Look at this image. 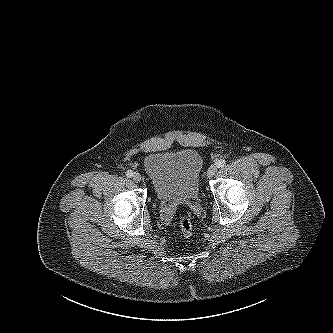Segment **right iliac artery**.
Segmentation results:
<instances>
[{
    "label": "right iliac artery",
    "mask_w": 333,
    "mask_h": 333,
    "mask_svg": "<svg viewBox=\"0 0 333 333\" xmlns=\"http://www.w3.org/2000/svg\"><path fill=\"white\" fill-rule=\"evenodd\" d=\"M126 176L129 177V178L132 177L133 176V172L131 170H128L126 172Z\"/></svg>",
    "instance_id": "82829eb1"
}]
</instances>
